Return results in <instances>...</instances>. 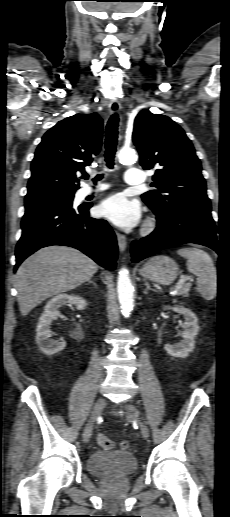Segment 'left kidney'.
<instances>
[{"mask_svg":"<svg viewBox=\"0 0 230 517\" xmlns=\"http://www.w3.org/2000/svg\"><path fill=\"white\" fill-rule=\"evenodd\" d=\"M164 310L171 309L176 313H180L184 316L185 322L183 323L182 327L184 329L182 333L183 340L176 344H165L164 349L172 356L174 357H180L184 358L187 357L188 354L194 349L195 347V341L194 338L199 332V326H198V319L196 315L190 311L189 309L183 307V306H174L169 307L165 306L163 308Z\"/></svg>","mask_w":230,"mask_h":517,"instance_id":"1","label":"left kidney"}]
</instances>
